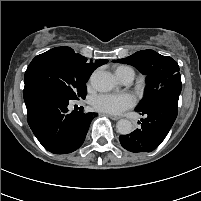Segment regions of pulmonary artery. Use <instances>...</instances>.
<instances>
[{"instance_id":"1","label":"pulmonary artery","mask_w":201,"mask_h":201,"mask_svg":"<svg viewBox=\"0 0 201 201\" xmlns=\"http://www.w3.org/2000/svg\"><path fill=\"white\" fill-rule=\"evenodd\" d=\"M133 78H134V77H133L131 74H128V75H126L125 77H123V78L121 79V81H122L123 83H125V84H129V83L132 82Z\"/></svg>"}]
</instances>
